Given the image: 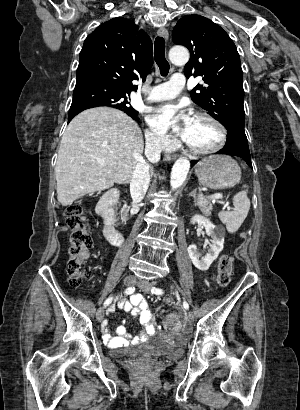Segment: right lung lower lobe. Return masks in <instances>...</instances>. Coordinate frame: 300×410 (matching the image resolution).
<instances>
[{
	"instance_id": "98d812e1",
	"label": "right lung lower lobe",
	"mask_w": 300,
	"mask_h": 410,
	"mask_svg": "<svg viewBox=\"0 0 300 410\" xmlns=\"http://www.w3.org/2000/svg\"><path fill=\"white\" fill-rule=\"evenodd\" d=\"M78 113H76V114H72V115H69L68 116V123L71 121V119L75 116V115H77ZM130 117H132L133 119H136V117L137 116H131V115H129Z\"/></svg>"
}]
</instances>
